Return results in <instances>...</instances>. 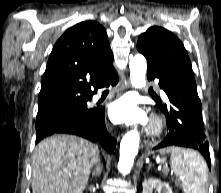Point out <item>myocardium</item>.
<instances>
[{"label":"myocardium","instance_id":"obj_1","mask_svg":"<svg viewBox=\"0 0 221 193\" xmlns=\"http://www.w3.org/2000/svg\"><path fill=\"white\" fill-rule=\"evenodd\" d=\"M163 129L164 124L162 120L158 116L153 115L145 128V134L150 138H156L162 134Z\"/></svg>","mask_w":221,"mask_h":193}]
</instances>
